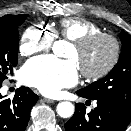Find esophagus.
Returning <instances> with one entry per match:
<instances>
[{
    "mask_svg": "<svg viewBox=\"0 0 131 131\" xmlns=\"http://www.w3.org/2000/svg\"><path fill=\"white\" fill-rule=\"evenodd\" d=\"M43 101L46 103H53L54 102L53 99H49V98H43Z\"/></svg>",
    "mask_w": 131,
    "mask_h": 131,
    "instance_id": "34e87169",
    "label": "esophagus"
}]
</instances>
